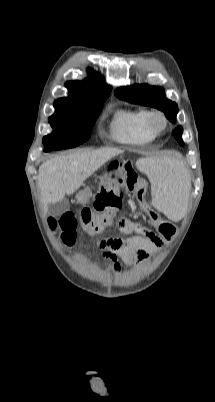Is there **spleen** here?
Returning <instances> with one entry per match:
<instances>
[{
	"label": "spleen",
	"mask_w": 215,
	"mask_h": 402,
	"mask_svg": "<svg viewBox=\"0 0 215 402\" xmlns=\"http://www.w3.org/2000/svg\"><path fill=\"white\" fill-rule=\"evenodd\" d=\"M137 166L148 176L157 194L152 208L163 211L170 219L183 220L187 213L185 196L191 190L187 178L190 172L170 158L140 159Z\"/></svg>",
	"instance_id": "spleen-1"
}]
</instances>
